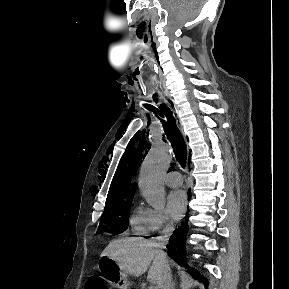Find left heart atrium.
<instances>
[{"label":"left heart atrium","instance_id":"obj_1","mask_svg":"<svg viewBox=\"0 0 289 289\" xmlns=\"http://www.w3.org/2000/svg\"><path fill=\"white\" fill-rule=\"evenodd\" d=\"M168 212L174 219L183 216L187 208V196L182 190L171 191L167 196Z\"/></svg>","mask_w":289,"mask_h":289}]
</instances>
